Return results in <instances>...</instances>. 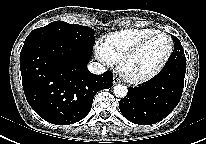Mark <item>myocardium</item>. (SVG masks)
Masks as SVG:
<instances>
[{
    "label": "myocardium",
    "mask_w": 206,
    "mask_h": 144,
    "mask_svg": "<svg viewBox=\"0 0 206 144\" xmlns=\"http://www.w3.org/2000/svg\"><path fill=\"white\" fill-rule=\"evenodd\" d=\"M157 35L165 36L169 41V50H168V53H167L165 59L162 61V63L157 68H155L153 71H151L149 73L142 74V75L131 74L128 71L129 62L141 51V49L146 45V43L151 38H153ZM173 51H174V42H173V39L171 38V36L163 31H155V32L145 36L144 38H142L140 41H138L134 46H132L123 55V57L119 61V69H120L122 75L130 82H133V83L146 82V81H149V80L155 78L157 75H159L164 70V68L167 66V64L169 63V61L172 57Z\"/></svg>",
    "instance_id": "f54148a6"
}]
</instances>
